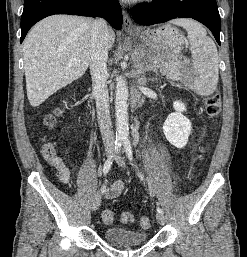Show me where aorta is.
Wrapping results in <instances>:
<instances>
[{
    "label": "aorta",
    "instance_id": "762f6f07",
    "mask_svg": "<svg viewBox=\"0 0 247 257\" xmlns=\"http://www.w3.org/2000/svg\"><path fill=\"white\" fill-rule=\"evenodd\" d=\"M115 96L116 138L125 140L129 135L128 88L122 76L117 78Z\"/></svg>",
    "mask_w": 247,
    "mask_h": 257
}]
</instances>
